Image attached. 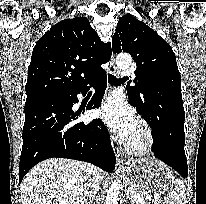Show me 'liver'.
Returning <instances> with one entry per match:
<instances>
[{"label": "liver", "mask_w": 206, "mask_h": 204, "mask_svg": "<svg viewBox=\"0 0 206 204\" xmlns=\"http://www.w3.org/2000/svg\"><path fill=\"white\" fill-rule=\"evenodd\" d=\"M88 165L64 158L40 162L20 185L23 204H84L91 177ZM105 178L101 172V181Z\"/></svg>", "instance_id": "obj_1"}]
</instances>
